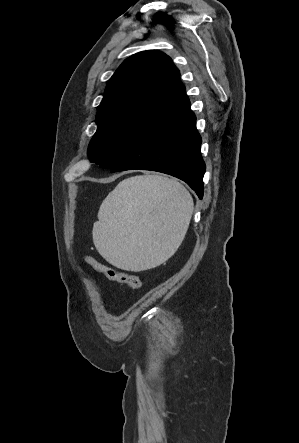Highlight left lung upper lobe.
Wrapping results in <instances>:
<instances>
[{
  "instance_id": "obj_1",
  "label": "left lung upper lobe",
  "mask_w": 299,
  "mask_h": 443,
  "mask_svg": "<svg viewBox=\"0 0 299 443\" xmlns=\"http://www.w3.org/2000/svg\"><path fill=\"white\" fill-rule=\"evenodd\" d=\"M184 91L179 70L163 52L142 51L127 58L108 81L98 106L90 161L112 168Z\"/></svg>"
}]
</instances>
